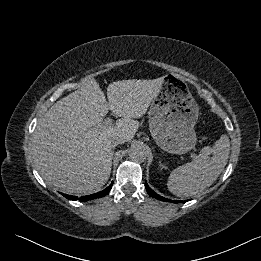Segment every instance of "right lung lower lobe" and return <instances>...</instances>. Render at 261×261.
I'll list each match as a JSON object with an SVG mask.
<instances>
[{"label": "right lung lower lobe", "mask_w": 261, "mask_h": 261, "mask_svg": "<svg viewBox=\"0 0 261 261\" xmlns=\"http://www.w3.org/2000/svg\"><path fill=\"white\" fill-rule=\"evenodd\" d=\"M112 185L113 183H111L106 189H104L103 191H100L98 193H94V194H91V195H87V196H83L81 197L79 200L80 201H88V200H92V199H95V198H99V197H103L105 195H107L109 193V191L111 190L112 188ZM64 197L70 199V200H76L77 199V196H70V195H66V194H63L61 193Z\"/></svg>", "instance_id": "98d812e1"}]
</instances>
